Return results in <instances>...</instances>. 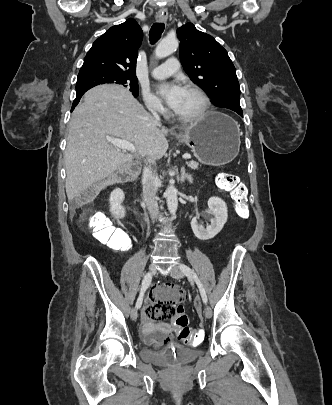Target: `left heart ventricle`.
Returning <instances> with one entry per match:
<instances>
[{"label": "left heart ventricle", "mask_w": 332, "mask_h": 405, "mask_svg": "<svg viewBox=\"0 0 332 405\" xmlns=\"http://www.w3.org/2000/svg\"><path fill=\"white\" fill-rule=\"evenodd\" d=\"M201 105V99L197 94L184 89L180 103L174 111L179 116L191 117L200 110Z\"/></svg>", "instance_id": "left-heart-ventricle-1"}]
</instances>
